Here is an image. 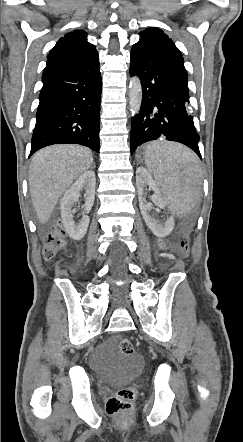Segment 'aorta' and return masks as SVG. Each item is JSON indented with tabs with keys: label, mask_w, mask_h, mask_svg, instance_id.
Masks as SVG:
<instances>
[{
	"label": "aorta",
	"mask_w": 243,
	"mask_h": 442,
	"mask_svg": "<svg viewBox=\"0 0 243 442\" xmlns=\"http://www.w3.org/2000/svg\"><path fill=\"white\" fill-rule=\"evenodd\" d=\"M129 107L132 115L139 113L142 102V85L137 76H133L129 83Z\"/></svg>",
	"instance_id": "aorta-1"
}]
</instances>
